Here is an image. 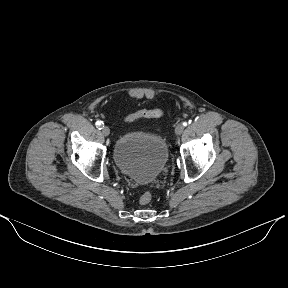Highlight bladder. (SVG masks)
Listing matches in <instances>:
<instances>
[{
    "instance_id": "31cf9c89",
    "label": "bladder",
    "mask_w": 288,
    "mask_h": 288,
    "mask_svg": "<svg viewBox=\"0 0 288 288\" xmlns=\"http://www.w3.org/2000/svg\"><path fill=\"white\" fill-rule=\"evenodd\" d=\"M112 155L121 172L139 184H149L164 169L168 146L162 135L129 131L117 137Z\"/></svg>"
}]
</instances>
